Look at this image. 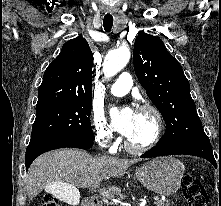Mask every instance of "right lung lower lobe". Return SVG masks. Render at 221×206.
<instances>
[{"mask_svg":"<svg viewBox=\"0 0 221 206\" xmlns=\"http://www.w3.org/2000/svg\"><path fill=\"white\" fill-rule=\"evenodd\" d=\"M93 141L94 140L92 139L84 138H66L30 144L26 149L25 155L26 171L28 170L33 160L44 152L65 147L89 149L93 146Z\"/></svg>","mask_w":221,"mask_h":206,"instance_id":"1","label":"right lung lower lobe"}]
</instances>
